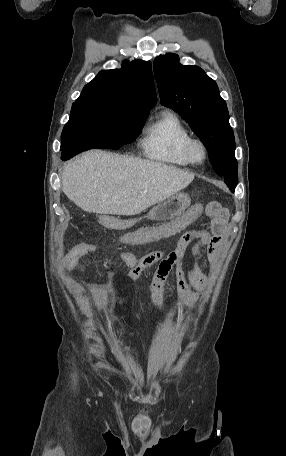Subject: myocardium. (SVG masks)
Masks as SVG:
<instances>
[{
	"instance_id": "obj_1",
	"label": "myocardium",
	"mask_w": 286,
	"mask_h": 456,
	"mask_svg": "<svg viewBox=\"0 0 286 456\" xmlns=\"http://www.w3.org/2000/svg\"><path fill=\"white\" fill-rule=\"evenodd\" d=\"M195 147H200V149L202 150L203 156H202L201 160H196L193 156V151H194ZM185 154H186L187 160L189 161L190 164L201 165L206 161L207 156H208L207 146H206L205 142L203 140H201L200 138L191 137L185 145Z\"/></svg>"
}]
</instances>
